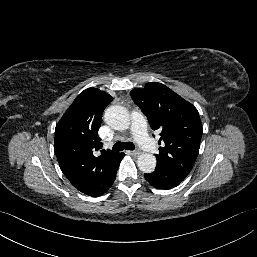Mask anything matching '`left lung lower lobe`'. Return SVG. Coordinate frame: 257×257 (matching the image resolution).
<instances>
[{"label": "left lung lower lobe", "mask_w": 257, "mask_h": 257, "mask_svg": "<svg viewBox=\"0 0 257 257\" xmlns=\"http://www.w3.org/2000/svg\"><path fill=\"white\" fill-rule=\"evenodd\" d=\"M145 179L158 189H171L179 185L184 179L174 171L157 165L155 171L151 174H144Z\"/></svg>", "instance_id": "left-lung-lower-lobe-1"}]
</instances>
